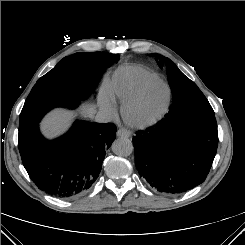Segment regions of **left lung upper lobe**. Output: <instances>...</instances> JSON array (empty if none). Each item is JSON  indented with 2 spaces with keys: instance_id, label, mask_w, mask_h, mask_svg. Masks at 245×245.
<instances>
[{
  "instance_id": "obj_1",
  "label": "left lung upper lobe",
  "mask_w": 245,
  "mask_h": 245,
  "mask_svg": "<svg viewBox=\"0 0 245 245\" xmlns=\"http://www.w3.org/2000/svg\"><path fill=\"white\" fill-rule=\"evenodd\" d=\"M155 57L159 60L158 66L166 69L172 91V105L167 115L184 109L214 113L208 100L196 84L187 78L169 58L158 54H155Z\"/></svg>"
}]
</instances>
